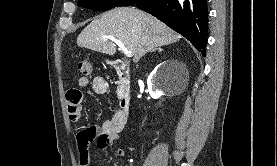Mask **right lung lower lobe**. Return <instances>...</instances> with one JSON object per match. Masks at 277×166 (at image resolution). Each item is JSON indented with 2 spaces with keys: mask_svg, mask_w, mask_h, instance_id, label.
I'll list each match as a JSON object with an SVG mask.
<instances>
[{
  "mask_svg": "<svg viewBox=\"0 0 277 166\" xmlns=\"http://www.w3.org/2000/svg\"><path fill=\"white\" fill-rule=\"evenodd\" d=\"M186 37L204 56L208 36L207 0H125Z\"/></svg>",
  "mask_w": 277,
  "mask_h": 166,
  "instance_id": "1",
  "label": "right lung lower lobe"
}]
</instances>
